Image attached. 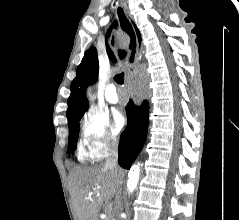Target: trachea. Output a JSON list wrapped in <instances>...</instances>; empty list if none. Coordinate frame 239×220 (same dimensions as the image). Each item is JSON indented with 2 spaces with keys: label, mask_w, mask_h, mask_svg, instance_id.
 <instances>
[{
  "label": "trachea",
  "mask_w": 239,
  "mask_h": 220,
  "mask_svg": "<svg viewBox=\"0 0 239 220\" xmlns=\"http://www.w3.org/2000/svg\"><path fill=\"white\" fill-rule=\"evenodd\" d=\"M114 80L118 84H123L124 83V73H120L114 76Z\"/></svg>",
  "instance_id": "obj_1"
}]
</instances>
